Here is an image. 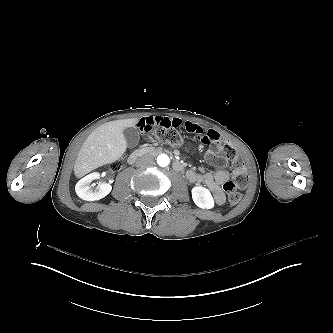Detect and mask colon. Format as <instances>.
Returning <instances> with one entry per match:
<instances>
[{
    "label": "colon",
    "instance_id": "5ec220e1",
    "mask_svg": "<svg viewBox=\"0 0 333 333\" xmlns=\"http://www.w3.org/2000/svg\"><path fill=\"white\" fill-rule=\"evenodd\" d=\"M190 134L194 138H199L205 144H209L215 141L216 133L212 129H207L203 133V129L199 125L190 127ZM155 136L160 143L176 146L182 143V137L178 130L166 128L163 130H156ZM151 133V132H150ZM147 134V133H144ZM203 134V136H202ZM217 147L222 152L223 157L220 159V164L224 167L232 168L234 171V178L227 181L223 188L227 195V202L232 205H236L241 200L242 182L246 180L247 175L244 170V163L238 158L237 152L225 141L217 143ZM112 168H117L116 164L111 165Z\"/></svg>",
    "mask_w": 333,
    "mask_h": 333
}]
</instances>
